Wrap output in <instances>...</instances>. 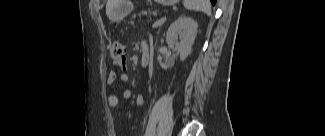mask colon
I'll return each mask as SVG.
<instances>
[{"instance_id": "5ec220e1", "label": "colon", "mask_w": 325, "mask_h": 136, "mask_svg": "<svg viewBox=\"0 0 325 136\" xmlns=\"http://www.w3.org/2000/svg\"><path fill=\"white\" fill-rule=\"evenodd\" d=\"M109 53L112 59L115 61H124L125 46L120 41H114L109 49Z\"/></svg>"}]
</instances>
